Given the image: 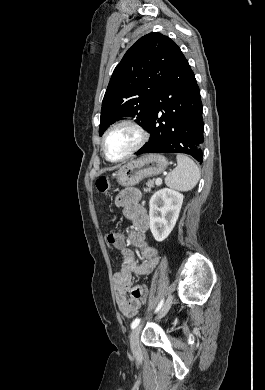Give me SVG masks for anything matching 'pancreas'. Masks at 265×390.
Here are the masks:
<instances>
[{
    "label": "pancreas",
    "instance_id": "pancreas-1",
    "mask_svg": "<svg viewBox=\"0 0 265 390\" xmlns=\"http://www.w3.org/2000/svg\"><path fill=\"white\" fill-rule=\"evenodd\" d=\"M154 187V180H149L147 183V189L145 191H150Z\"/></svg>",
    "mask_w": 265,
    "mask_h": 390
}]
</instances>
